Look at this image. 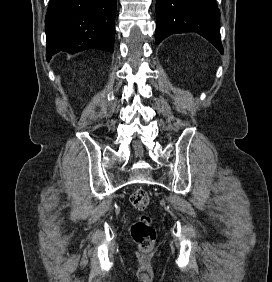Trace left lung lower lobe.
<instances>
[{"label": "left lung lower lobe", "instance_id": "obj_1", "mask_svg": "<svg viewBox=\"0 0 272 282\" xmlns=\"http://www.w3.org/2000/svg\"><path fill=\"white\" fill-rule=\"evenodd\" d=\"M156 43L174 33L194 31L223 54L216 0H156Z\"/></svg>", "mask_w": 272, "mask_h": 282}]
</instances>
